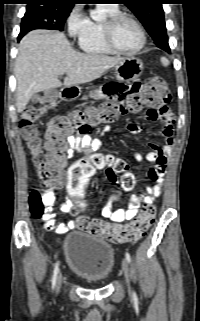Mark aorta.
<instances>
[{
    "mask_svg": "<svg viewBox=\"0 0 200 321\" xmlns=\"http://www.w3.org/2000/svg\"><path fill=\"white\" fill-rule=\"evenodd\" d=\"M91 18L94 20H98L99 19V13L97 11H91Z\"/></svg>",
    "mask_w": 200,
    "mask_h": 321,
    "instance_id": "762f6f07",
    "label": "aorta"
}]
</instances>
